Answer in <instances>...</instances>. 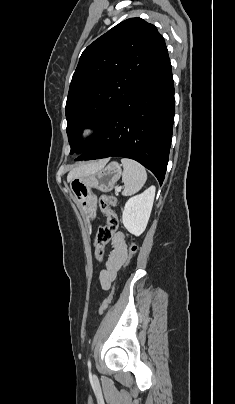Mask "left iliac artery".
<instances>
[{"mask_svg": "<svg viewBox=\"0 0 235 404\" xmlns=\"http://www.w3.org/2000/svg\"><path fill=\"white\" fill-rule=\"evenodd\" d=\"M87 365H88V368L91 369V362H90V359L88 360V364H87Z\"/></svg>", "mask_w": 235, "mask_h": 404, "instance_id": "left-iliac-artery-1", "label": "left iliac artery"}]
</instances>
